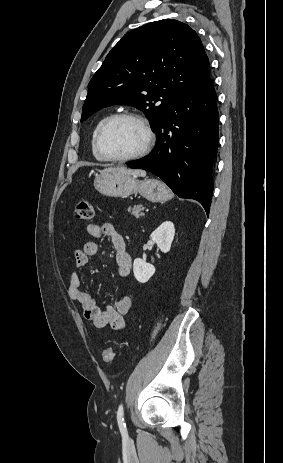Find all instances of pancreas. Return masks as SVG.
<instances>
[{
    "instance_id": "obj_1",
    "label": "pancreas",
    "mask_w": 283,
    "mask_h": 463,
    "mask_svg": "<svg viewBox=\"0 0 283 463\" xmlns=\"http://www.w3.org/2000/svg\"><path fill=\"white\" fill-rule=\"evenodd\" d=\"M143 210L144 207L142 204L134 205L133 207L128 208V212H130L135 218L144 216Z\"/></svg>"
}]
</instances>
